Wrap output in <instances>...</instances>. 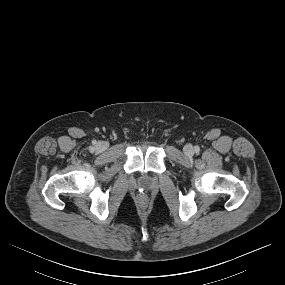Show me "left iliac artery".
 Listing matches in <instances>:
<instances>
[{"instance_id":"left-iliac-artery-1","label":"left iliac artery","mask_w":285,"mask_h":285,"mask_svg":"<svg viewBox=\"0 0 285 285\" xmlns=\"http://www.w3.org/2000/svg\"><path fill=\"white\" fill-rule=\"evenodd\" d=\"M195 151L198 152L199 151V147H195Z\"/></svg>"}]
</instances>
